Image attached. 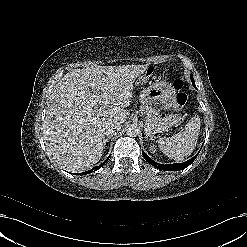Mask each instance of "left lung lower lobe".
Segmentation results:
<instances>
[{"label": "left lung lower lobe", "instance_id": "left-lung-lower-lobe-1", "mask_svg": "<svg viewBox=\"0 0 247 247\" xmlns=\"http://www.w3.org/2000/svg\"><path fill=\"white\" fill-rule=\"evenodd\" d=\"M191 81H192V84L193 86L196 88L195 86V82H194V78H191ZM142 154H143V157L145 158V160L153 165L154 167L160 169V170H164V171H178V170H182L186 167H188L194 160H195V157H197V155L193 158H191L190 160L186 161V162H183V163H176V164H167V165H164V164H159L155 161H153L149 156H147V154H145L144 151H142Z\"/></svg>", "mask_w": 247, "mask_h": 247}]
</instances>
